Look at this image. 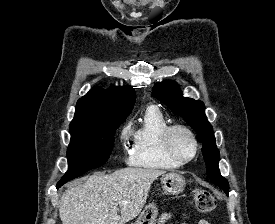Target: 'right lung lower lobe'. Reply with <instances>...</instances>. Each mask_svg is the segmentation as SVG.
Instances as JSON below:
<instances>
[{
  "instance_id": "98d812e1",
  "label": "right lung lower lobe",
  "mask_w": 275,
  "mask_h": 224,
  "mask_svg": "<svg viewBox=\"0 0 275 224\" xmlns=\"http://www.w3.org/2000/svg\"><path fill=\"white\" fill-rule=\"evenodd\" d=\"M60 187V185H57V188H59Z\"/></svg>"
}]
</instances>
